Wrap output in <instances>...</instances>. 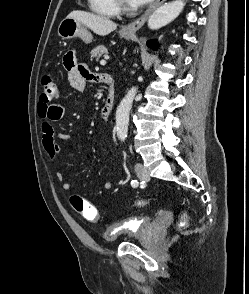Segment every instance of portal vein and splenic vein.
Listing matches in <instances>:
<instances>
[{
    "instance_id": "1",
    "label": "portal vein and splenic vein",
    "mask_w": 249,
    "mask_h": 294,
    "mask_svg": "<svg viewBox=\"0 0 249 294\" xmlns=\"http://www.w3.org/2000/svg\"><path fill=\"white\" fill-rule=\"evenodd\" d=\"M100 64H101V65H105V64H106V61H105V60H101V61H100Z\"/></svg>"
}]
</instances>
